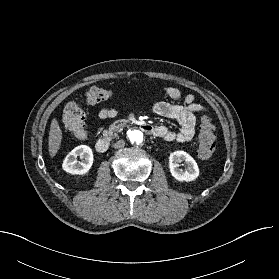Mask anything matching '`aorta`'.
Wrapping results in <instances>:
<instances>
[{
	"label": "aorta",
	"instance_id": "762f6f07",
	"mask_svg": "<svg viewBox=\"0 0 279 279\" xmlns=\"http://www.w3.org/2000/svg\"><path fill=\"white\" fill-rule=\"evenodd\" d=\"M128 138L132 143L140 144L143 141V134L139 130L131 129L128 131Z\"/></svg>",
	"mask_w": 279,
	"mask_h": 279
}]
</instances>
